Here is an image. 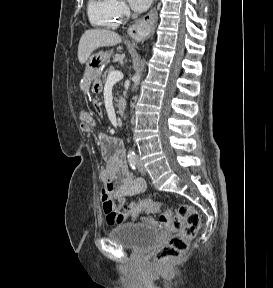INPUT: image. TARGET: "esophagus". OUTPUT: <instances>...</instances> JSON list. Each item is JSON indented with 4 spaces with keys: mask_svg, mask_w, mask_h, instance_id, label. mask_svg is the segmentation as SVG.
Masks as SVG:
<instances>
[{
    "mask_svg": "<svg viewBox=\"0 0 273 288\" xmlns=\"http://www.w3.org/2000/svg\"><path fill=\"white\" fill-rule=\"evenodd\" d=\"M157 18L156 7H153L146 15L129 27L128 34L135 40L143 39L146 35L154 32Z\"/></svg>",
    "mask_w": 273,
    "mask_h": 288,
    "instance_id": "34e87169",
    "label": "esophagus"
}]
</instances>
